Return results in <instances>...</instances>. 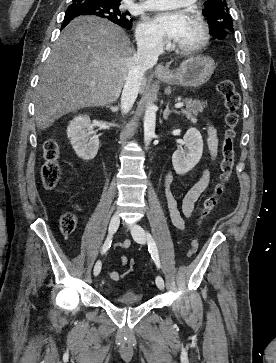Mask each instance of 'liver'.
I'll return each mask as SVG.
<instances>
[{"mask_svg":"<svg viewBox=\"0 0 276 363\" xmlns=\"http://www.w3.org/2000/svg\"><path fill=\"white\" fill-rule=\"evenodd\" d=\"M135 54L118 25L95 16L71 21L41 69L35 96L37 128L45 130L79 109L115 102ZM145 86L143 76L140 90L144 91Z\"/></svg>","mask_w":276,"mask_h":363,"instance_id":"6515ba94","label":"liver"}]
</instances>
